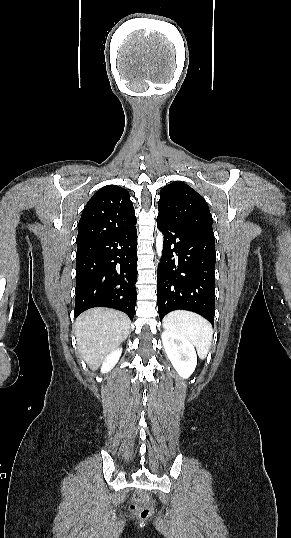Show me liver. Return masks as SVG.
Segmentation results:
<instances>
[{
	"label": "liver",
	"mask_w": 291,
	"mask_h": 538,
	"mask_svg": "<svg viewBox=\"0 0 291 538\" xmlns=\"http://www.w3.org/2000/svg\"><path fill=\"white\" fill-rule=\"evenodd\" d=\"M77 350L91 369H95L130 333V319L122 312L93 308L75 322Z\"/></svg>",
	"instance_id": "obj_1"
}]
</instances>
